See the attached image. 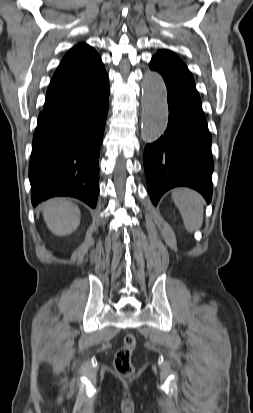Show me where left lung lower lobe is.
Masks as SVG:
<instances>
[{
    "instance_id": "obj_1",
    "label": "left lung lower lobe",
    "mask_w": 253,
    "mask_h": 413,
    "mask_svg": "<svg viewBox=\"0 0 253 413\" xmlns=\"http://www.w3.org/2000/svg\"><path fill=\"white\" fill-rule=\"evenodd\" d=\"M151 70L160 73L168 90L167 129L144 150V169L150 198L156 205L161 196L176 186L212 198V138L192 74L185 64L153 57Z\"/></svg>"
}]
</instances>
